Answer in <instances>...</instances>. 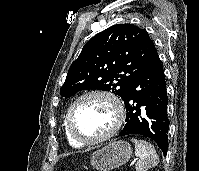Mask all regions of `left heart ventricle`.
I'll use <instances>...</instances> for the list:
<instances>
[{"label":"left heart ventricle","mask_w":199,"mask_h":171,"mask_svg":"<svg viewBox=\"0 0 199 171\" xmlns=\"http://www.w3.org/2000/svg\"><path fill=\"white\" fill-rule=\"evenodd\" d=\"M73 126L84 138H96L107 133L115 122V111L111 102L103 97L82 100L74 109Z\"/></svg>","instance_id":"left-heart-ventricle-1"}]
</instances>
